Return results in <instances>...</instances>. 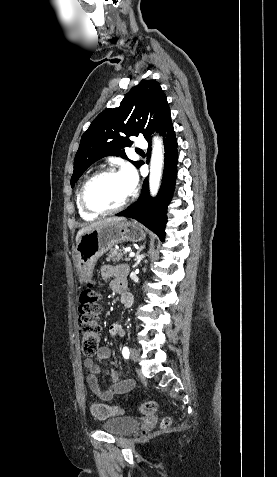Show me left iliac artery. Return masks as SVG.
I'll list each match as a JSON object with an SVG mask.
<instances>
[{"mask_svg": "<svg viewBox=\"0 0 277 477\" xmlns=\"http://www.w3.org/2000/svg\"><path fill=\"white\" fill-rule=\"evenodd\" d=\"M122 354H123V357H124L125 359H128V358H129V349H128V347H124V348H123Z\"/></svg>", "mask_w": 277, "mask_h": 477, "instance_id": "left-iliac-artery-1", "label": "left iliac artery"}]
</instances>
